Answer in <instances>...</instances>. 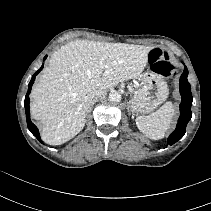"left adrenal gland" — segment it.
Listing matches in <instances>:
<instances>
[{
    "instance_id": "obj_1",
    "label": "left adrenal gland",
    "mask_w": 211,
    "mask_h": 211,
    "mask_svg": "<svg viewBox=\"0 0 211 211\" xmlns=\"http://www.w3.org/2000/svg\"><path fill=\"white\" fill-rule=\"evenodd\" d=\"M129 104H130V101H129ZM128 112H130L129 107H128ZM129 114H130V113H129Z\"/></svg>"
}]
</instances>
